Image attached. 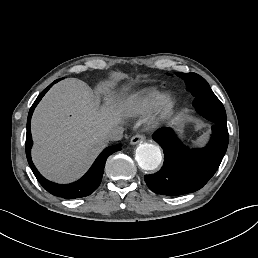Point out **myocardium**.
Listing matches in <instances>:
<instances>
[{
    "instance_id": "1",
    "label": "myocardium",
    "mask_w": 258,
    "mask_h": 258,
    "mask_svg": "<svg viewBox=\"0 0 258 258\" xmlns=\"http://www.w3.org/2000/svg\"><path fill=\"white\" fill-rule=\"evenodd\" d=\"M173 105L174 101L170 95L163 94L159 96L155 105V110L152 113L147 114L143 119L150 132L155 133L160 130L162 121L171 111Z\"/></svg>"
}]
</instances>
